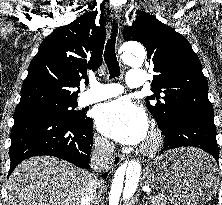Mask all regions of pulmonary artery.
Returning a JSON list of instances; mask_svg holds the SVG:
<instances>
[{
  "label": "pulmonary artery",
  "mask_w": 222,
  "mask_h": 205,
  "mask_svg": "<svg viewBox=\"0 0 222 205\" xmlns=\"http://www.w3.org/2000/svg\"><path fill=\"white\" fill-rule=\"evenodd\" d=\"M145 82V73L141 69H130L126 83L130 88L141 87ZM91 89L87 91L83 98L82 104L88 105L100 102L121 94L124 89L118 84H101L97 81L91 83Z\"/></svg>",
  "instance_id": "1"
}]
</instances>
